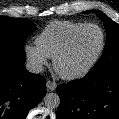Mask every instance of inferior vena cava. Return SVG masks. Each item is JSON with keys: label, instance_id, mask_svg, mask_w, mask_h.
I'll list each match as a JSON object with an SVG mask.
<instances>
[{"label": "inferior vena cava", "instance_id": "1", "mask_svg": "<svg viewBox=\"0 0 119 119\" xmlns=\"http://www.w3.org/2000/svg\"><path fill=\"white\" fill-rule=\"evenodd\" d=\"M26 69L31 73H41L43 71V66L35 61H28L26 64Z\"/></svg>", "mask_w": 119, "mask_h": 119}]
</instances>
